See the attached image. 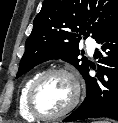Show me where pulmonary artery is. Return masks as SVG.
I'll use <instances>...</instances> for the list:
<instances>
[{
	"mask_svg": "<svg viewBox=\"0 0 118 123\" xmlns=\"http://www.w3.org/2000/svg\"><path fill=\"white\" fill-rule=\"evenodd\" d=\"M86 45H87V49H88L89 54L92 55L94 53L96 47H97L96 41L93 38H88L86 40Z\"/></svg>",
	"mask_w": 118,
	"mask_h": 123,
	"instance_id": "e3ab8cb5",
	"label": "pulmonary artery"
}]
</instances>
